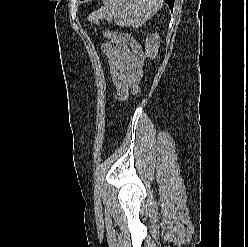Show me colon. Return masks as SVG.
Returning a JSON list of instances; mask_svg holds the SVG:
<instances>
[{
	"instance_id": "1",
	"label": "colon",
	"mask_w": 248,
	"mask_h": 247,
	"mask_svg": "<svg viewBox=\"0 0 248 247\" xmlns=\"http://www.w3.org/2000/svg\"><path fill=\"white\" fill-rule=\"evenodd\" d=\"M104 33L107 36L111 37L113 40H118L131 46L135 52L136 63L140 68H142L144 64V53L142 47L135 39H133L131 36L127 34L117 33L111 30H104Z\"/></svg>"
}]
</instances>
